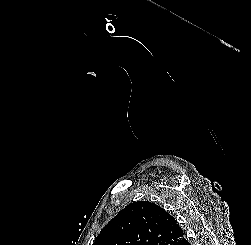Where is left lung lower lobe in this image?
<instances>
[{"label": "left lung lower lobe", "mask_w": 251, "mask_h": 245, "mask_svg": "<svg viewBox=\"0 0 251 245\" xmlns=\"http://www.w3.org/2000/svg\"><path fill=\"white\" fill-rule=\"evenodd\" d=\"M176 245H190L186 237L181 239L179 242L176 243Z\"/></svg>", "instance_id": "0a47b994"}]
</instances>
